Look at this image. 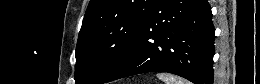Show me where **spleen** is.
Listing matches in <instances>:
<instances>
[{"instance_id": "spleen-1", "label": "spleen", "mask_w": 260, "mask_h": 84, "mask_svg": "<svg viewBox=\"0 0 260 84\" xmlns=\"http://www.w3.org/2000/svg\"><path fill=\"white\" fill-rule=\"evenodd\" d=\"M156 76L165 84H190L189 81L170 73H158Z\"/></svg>"}]
</instances>
